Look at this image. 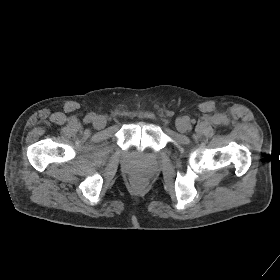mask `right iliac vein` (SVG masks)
<instances>
[{"instance_id":"obj_1","label":"right iliac vein","mask_w":280,"mask_h":280,"mask_svg":"<svg viewBox=\"0 0 280 280\" xmlns=\"http://www.w3.org/2000/svg\"><path fill=\"white\" fill-rule=\"evenodd\" d=\"M93 126L96 129H102L106 126V120L103 116H97L95 117L93 121Z\"/></svg>"}]
</instances>
